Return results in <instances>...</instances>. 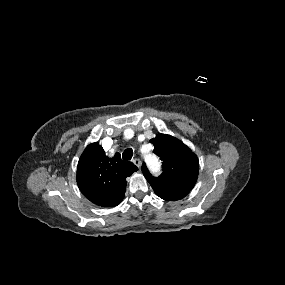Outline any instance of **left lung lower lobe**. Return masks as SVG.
I'll use <instances>...</instances> for the list:
<instances>
[{"instance_id":"1","label":"left lung lower lobe","mask_w":285,"mask_h":285,"mask_svg":"<svg viewBox=\"0 0 285 285\" xmlns=\"http://www.w3.org/2000/svg\"><path fill=\"white\" fill-rule=\"evenodd\" d=\"M155 193L166 201H176L184 198L188 193L183 191L154 190Z\"/></svg>"}]
</instances>
